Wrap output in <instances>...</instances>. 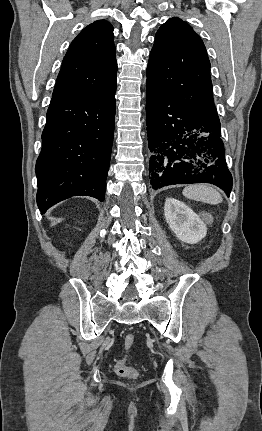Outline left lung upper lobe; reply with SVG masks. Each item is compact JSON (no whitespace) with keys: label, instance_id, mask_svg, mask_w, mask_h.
<instances>
[{"label":"left lung upper lobe","instance_id":"left-lung-upper-lobe-1","mask_svg":"<svg viewBox=\"0 0 262 431\" xmlns=\"http://www.w3.org/2000/svg\"><path fill=\"white\" fill-rule=\"evenodd\" d=\"M146 74L147 83L189 107L203 122L220 124L206 48L189 24L173 17L160 27Z\"/></svg>","mask_w":262,"mask_h":431}]
</instances>
